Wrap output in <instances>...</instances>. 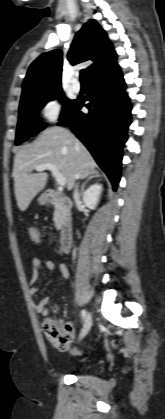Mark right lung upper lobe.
Masks as SVG:
<instances>
[{
  "label": "right lung upper lobe",
  "instance_id": "1",
  "mask_svg": "<svg viewBox=\"0 0 165 419\" xmlns=\"http://www.w3.org/2000/svg\"><path fill=\"white\" fill-rule=\"evenodd\" d=\"M67 57L72 65L87 60L94 62L88 67L89 81L117 66L113 46L95 20L88 21L77 32ZM62 64L61 50L41 54L28 69L20 102L37 94L61 89Z\"/></svg>",
  "mask_w": 165,
  "mask_h": 419
}]
</instances>
